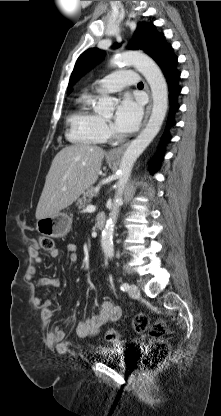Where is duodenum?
<instances>
[{
    "instance_id": "duodenum-1",
    "label": "duodenum",
    "mask_w": 221,
    "mask_h": 416,
    "mask_svg": "<svg viewBox=\"0 0 221 416\" xmlns=\"http://www.w3.org/2000/svg\"><path fill=\"white\" fill-rule=\"evenodd\" d=\"M105 223H106V217L104 215L97 216L96 222H95L97 230H102L105 226Z\"/></svg>"
}]
</instances>
